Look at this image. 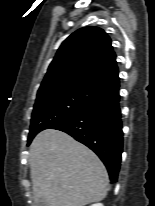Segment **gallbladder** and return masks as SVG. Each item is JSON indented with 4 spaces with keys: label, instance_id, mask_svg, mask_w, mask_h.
<instances>
[{
    "label": "gallbladder",
    "instance_id": "gallbladder-1",
    "mask_svg": "<svg viewBox=\"0 0 155 206\" xmlns=\"http://www.w3.org/2000/svg\"><path fill=\"white\" fill-rule=\"evenodd\" d=\"M36 206H46V204L43 201H40Z\"/></svg>",
    "mask_w": 155,
    "mask_h": 206
}]
</instances>
